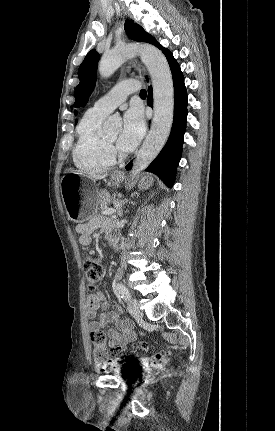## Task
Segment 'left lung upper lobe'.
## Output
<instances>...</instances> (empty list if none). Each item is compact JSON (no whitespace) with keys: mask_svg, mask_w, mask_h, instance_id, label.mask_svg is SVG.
I'll return each mask as SVG.
<instances>
[{"mask_svg":"<svg viewBox=\"0 0 275 431\" xmlns=\"http://www.w3.org/2000/svg\"><path fill=\"white\" fill-rule=\"evenodd\" d=\"M124 29L130 39L139 42H147L155 45L164 53L167 49L163 48L150 34L146 33L141 26L126 21ZM99 54L91 50L79 67L78 76L80 83L75 90L74 107H83L92 93L96 81V69L99 61Z\"/></svg>","mask_w":275,"mask_h":431,"instance_id":"obj_1","label":"left lung upper lobe"}]
</instances>
